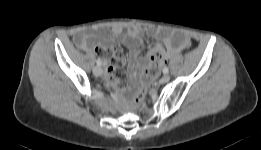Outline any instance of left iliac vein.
I'll list each match as a JSON object with an SVG mask.
<instances>
[{
    "label": "left iliac vein",
    "instance_id": "1",
    "mask_svg": "<svg viewBox=\"0 0 261 150\" xmlns=\"http://www.w3.org/2000/svg\"><path fill=\"white\" fill-rule=\"evenodd\" d=\"M170 80V75L164 74L163 77L160 79L161 83H167Z\"/></svg>",
    "mask_w": 261,
    "mask_h": 150
}]
</instances>
